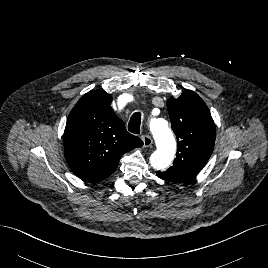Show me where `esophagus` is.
Instances as JSON below:
<instances>
[{
    "instance_id": "34e87169",
    "label": "esophagus",
    "mask_w": 268,
    "mask_h": 268,
    "mask_svg": "<svg viewBox=\"0 0 268 268\" xmlns=\"http://www.w3.org/2000/svg\"><path fill=\"white\" fill-rule=\"evenodd\" d=\"M142 141H143L144 147H151L152 146L153 140L150 136L143 135Z\"/></svg>"
}]
</instances>
